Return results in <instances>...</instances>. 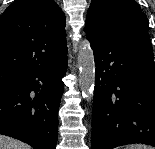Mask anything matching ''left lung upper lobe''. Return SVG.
<instances>
[{
  "label": "left lung upper lobe",
  "instance_id": "5c2ea615",
  "mask_svg": "<svg viewBox=\"0 0 155 149\" xmlns=\"http://www.w3.org/2000/svg\"><path fill=\"white\" fill-rule=\"evenodd\" d=\"M148 19L134 0H92L85 32L94 37H111L138 30L148 31Z\"/></svg>",
  "mask_w": 155,
  "mask_h": 149
}]
</instances>
